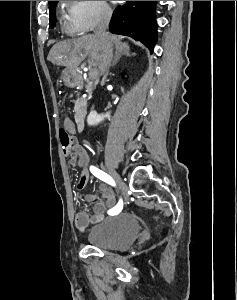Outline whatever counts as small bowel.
Instances as JSON below:
<instances>
[{
    "instance_id": "1",
    "label": "small bowel",
    "mask_w": 237,
    "mask_h": 300,
    "mask_svg": "<svg viewBox=\"0 0 237 300\" xmlns=\"http://www.w3.org/2000/svg\"><path fill=\"white\" fill-rule=\"evenodd\" d=\"M63 128L71 134L77 132L75 123L66 118L63 123ZM67 157H70L71 163L81 170L80 178L76 184L78 190H83L89 179V172L87 170L88 153L79 144L72 150L64 151ZM84 200L86 202H95L92 207V214H89L84 208L79 207L75 213L74 223L78 230L84 231L91 223L100 221L106 213H109L116 204L115 192L105 183H100L98 191L95 194H85Z\"/></svg>"
}]
</instances>
